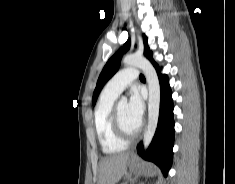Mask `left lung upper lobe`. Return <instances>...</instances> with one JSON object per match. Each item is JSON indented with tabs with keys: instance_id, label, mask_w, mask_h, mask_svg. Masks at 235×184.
I'll return each instance as SVG.
<instances>
[{
	"instance_id": "1",
	"label": "left lung upper lobe",
	"mask_w": 235,
	"mask_h": 184,
	"mask_svg": "<svg viewBox=\"0 0 235 184\" xmlns=\"http://www.w3.org/2000/svg\"><path fill=\"white\" fill-rule=\"evenodd\" d=\"M144 40V55L150 60L152 58V52L147 44V37L143 35ZM130 48V40H128L121 49H119L106 63L102 72L99 75L96 88L93 93L92 104L93 106L96 103L98 95L102 89V87L106 84V82L117 72L119 69L122 56L124 52H126Z\"/></svg>"
}]
</instances>
